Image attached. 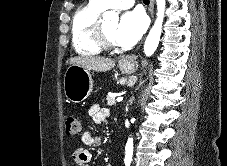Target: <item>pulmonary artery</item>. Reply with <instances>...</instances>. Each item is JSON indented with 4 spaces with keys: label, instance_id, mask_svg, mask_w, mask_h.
<instances>
[{
    "label": "pulmonary artery",
    "instance_id": "pulmonary-artery-1",
    "mask_svg": "<svg viewBox=\"0 0 227 166\" xmlns=\"http://www.w3.org/2000/svg\"><path fill=\"white\" fill-rule=\"evenodd\" d=\"M103 8L126 9L135 4V0H93Z\"/></svg>",
    "mask_w": 227,
    "mask_h": 166
}]
</instances>
